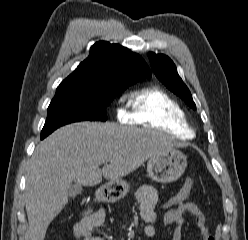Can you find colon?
Wrapping results in <instances>:
<instances>
[{"mask_svg": "<svg viewBox=\"0 0 248 240\" xmlns=\"http://www.w3.org/2000/svg\"><path fill=\"white\" fill-rule=\"evenodd\" d=\"M193 185L191 179H187L181 189L174 196L170 197L164 204V209H172L179 206L182 203H185L186 199L190 195V191Z\"/></svg>", "mask_w": 248, "mask_h": 240, "instance_id": "1", "label": "colon"}]
</instances>
